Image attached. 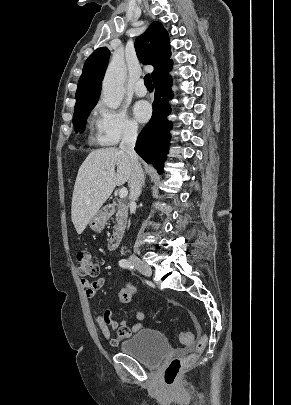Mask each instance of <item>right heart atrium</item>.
<instances>
[{
    "label": "right heart atrium",
    "mask_w": 291,
    "mask_h": 405,
    "mask_svg": "<svg viewBox=\"0 0 291 405\" xmlns=\"http://www.w3.org/2000/svg\"><path fill=\"white\" fill-rule=\"evenodd\" d=\"M93 122L96 142L101 146H115L138 134V125L124 110L111 109L103 104L95 107Z\"/></svg>",
    "instance_id": "d8ad5b80"
}]
</instances>
